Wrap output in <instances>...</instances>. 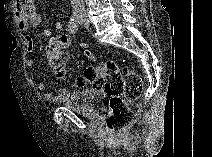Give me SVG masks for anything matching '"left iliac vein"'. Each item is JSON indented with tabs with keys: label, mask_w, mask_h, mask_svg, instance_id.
<instances>
[{
	"label": "left iliac vein",
	"mask_w": 212,
	"mask_h": 157,
	"mask_svg": "<svg viewBox=\"0 0 212 157\" xmlns=\"http://www.w3.org/2000/svg\"><path fill=\"white\" fill-rule=\"evenodd\" d=\"M79 24L84 26V27H88L89 26V20L87 17H82L79 21Z\"/></svg>",
	"instance_id": "obj_1"
}]
</instances>
